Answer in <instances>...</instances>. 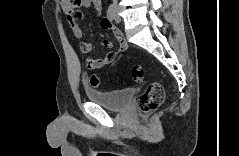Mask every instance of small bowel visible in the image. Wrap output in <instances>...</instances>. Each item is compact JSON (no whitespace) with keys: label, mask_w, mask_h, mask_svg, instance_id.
I'll return each mask as SVG.
<instances>
[{"label":"small bowel","mask_w":239,"mask_h":156,"mask_svg":"<svg viewBox=\"0 0 239 156\" xmlns=\"http://www.w3.org/2000/svg\"><path fill=\"white\" fill-rule=\"evenodd\" d=\"M61 6L74 36L78 39H80L83 35L82 30L78 25V20L82 17V10L93 7L98 13L101 11V3L98 0H62ZM100 26L103 29H110L113 31L119 44V52L127 50L128 45L125 38L122 33L113 26L112 21L108 17L101 20ZM102 45L107 49L106 54L99 59L87 58L86 66L89 69L102 68L110 64L115 59L117 52L113 50L114 43L110 40H104ZM80 48L82 52L88 53L92 49V44L84 41L81 43Z\"/></svg>","instance_id":"1"}]
</instances>
